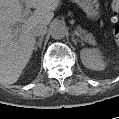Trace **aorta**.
<instances>
[{
	"instance_id": "obj_1",
	"label": "aorta",
	"mask_w": 119,
	"mask_h": 119,
	"mask_svg": "<svg viewBox=\"0 0 119 119\" xmlns=\"http://www.w3.org/2000/svg\"><path fill=\"white\" fill-rule=\"evenodd\" d=\"M67 28L64 24L56 22L50 27V34L54 39H62L67 35Z\"/></svg>"
}]
</instances>
